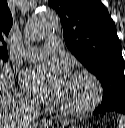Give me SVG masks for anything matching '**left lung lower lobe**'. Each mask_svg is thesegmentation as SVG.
I'll list each match as a JSON object with an SVG mask.
<instances>
[{
    "label": "left lung lower lobe",
    "mask_w": 125,
    "mask_h": 128,
    "mask_svg": "<svg viewBox=\"0 0 125 128\" xmlns=\"http://www.w3.org/2000/svg\"><path fill=\"white\" fill-rule=\"evenodd\" d=\"M109 111H115V112L125 114V96L121 97L120 99L114 102L101 104L98 108L95 109L93 114L109 112Z\"/></svg>",
    "instance_id": "0a47b994"
}]
</instances>
